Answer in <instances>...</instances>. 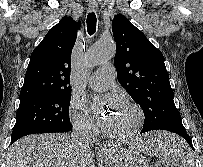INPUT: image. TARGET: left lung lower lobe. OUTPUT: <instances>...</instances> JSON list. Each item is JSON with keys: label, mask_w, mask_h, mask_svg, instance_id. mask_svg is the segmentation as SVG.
Returning a JSON list of instances; mask_svg holds the SVG:
<instances>
[{"label": "left lung lower lobe", "mask_w": 203, "mask_h": 167, "mask_svg": "<svg viewBox=\"0 0 203 167\" xmlns=\"http://www.w3.org/2000/svg\"><path fill=\"white\" fill-rule=\"evenodd\" d=\"M143 132H145V131L142 130L141 133H143ZM171 132L176 133L179 136L183 137L187 141V143L190 145V147L194 150L191 138H190V136L185 131L175 130V131H171Z\"/></svg>", "instance_id": "1"}]
</instances>
